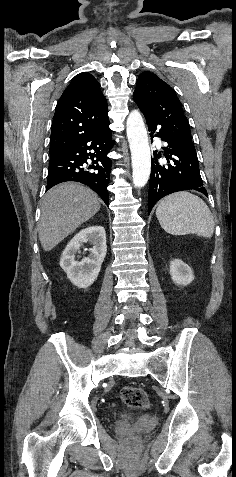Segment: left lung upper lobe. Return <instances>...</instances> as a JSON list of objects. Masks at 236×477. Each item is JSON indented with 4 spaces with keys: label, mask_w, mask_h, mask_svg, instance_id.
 Segmentation results:
<instances>
[{
    "label": "left lung upper lobe",
    "mask_w": 236,
    "mask_h": 477,
    "mask_svg": "<svg viewBox=\"0 0 236 477\" xmlns=\"http://www.w3.org/2000/svg\"><path fill=\"white\" fill-rule=\"evenodd\" d=\"M133 97L144 116L159 125L171 140L196 152L182 105L167 83L157 75L145 71L139 75Z\"/></svg>",
    "instance_id": "5c2ea615"
}]
</instances>
